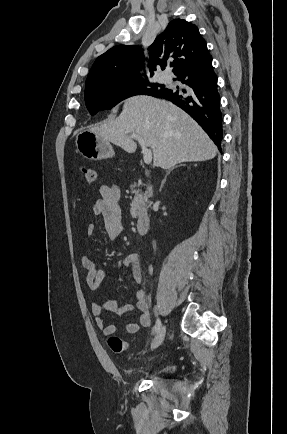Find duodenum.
<instances>
[{
  "instance_id": "obj_1",
  "label": "duodenum",
  "mask_w": 287,
  "mask_h": 434,
  "mask_svg": "<svg viewBox=\"0 0 287 434\" xmlns=\"http://www.w3.org/2000/svg\"><path fill=\"white\" fill-rule=\"evenodd\" d=\"M148 193H152V189L150 186H148ZM150 226V217L148 215H140L137 219V232L139 235H145L148 232Z\"/></svg>"
}]
</instances>
